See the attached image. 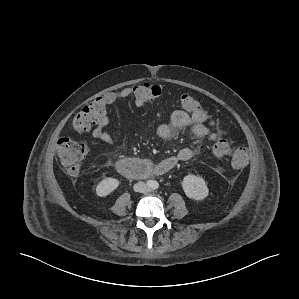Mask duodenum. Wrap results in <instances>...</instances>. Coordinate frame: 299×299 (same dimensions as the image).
Returning a JSON list of instances; mask_svg holds the SVG:
<instances>
[{
	"mask_svg": "<svg viewBox=\"0 0 299 299\" xmlns=\"http://www.w3.org/2000/svg\"><path fill=\"white\" fill-rule=\"evenodd\" d=\"M116 168L120 174L130 178H146L153 175L152 164L145 159L127 158L119 160Z\"/></svg>",
	"mask_w": 299,
	"mask_h": 299,
	"instance_id": "obj_1",
	"label": "duodenum"
}]
</instances>
